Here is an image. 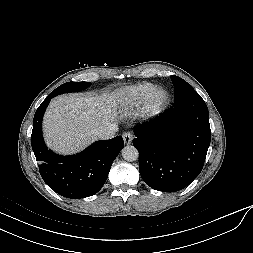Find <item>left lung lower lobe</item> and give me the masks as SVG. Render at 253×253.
<instances>
[{
  "mask_svg": "<svg viewBox=\"0 0 253 253\" xmlns=\"http://www.w3.org/2000/svg\"><path fill=\"white\" fill-rule=\"evenodd\" d=\"M139 172L151 188L176 192L201 172L211 131L208 108L200 95L186 99L134 127Z\"/></svg>",
  "mask_w": 253,
  "mask_h": 253,
  "instance_id": "1",
  "label": "left lung lower lobe"
}]
</instances>
